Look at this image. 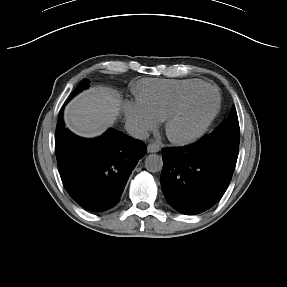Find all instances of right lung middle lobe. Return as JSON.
<instances>
[{"label": "right lung middle lobe", "mask_w": 287, "mask_h": 287, "mask_svg": "<svg viewBox=\"0 0 287 287\" xmlns=\"http://www.w3.org/2000/svg\"><path fill=\"white\" fill-rule=\"evenodd\" d=\"M90 81L87 79H83L78 86L76 87V89L70 94L69 100L74 97L76 94H78L79 92H81L82 90H84L85 88H87L89 86ZM66 104V103H65ZM59 119H58V124H57V129L56 131H58L59 129H61L64 124H63V119H62V111L60 112L59 115Z\"/></svg>", "instance_id": "obj_1"}]
</instances>
